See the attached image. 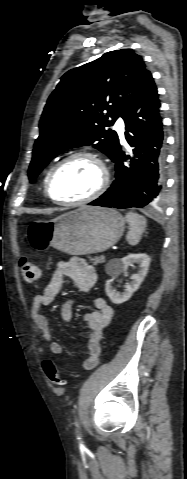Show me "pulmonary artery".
<instances>
[{"label":"pulmonary artery","mask_w":187,"mask_h":479,"mask_svg":"<svg viewBox=\"0 0 187 479\" xmlns=\"http://www.w3.org/2000/svg\"><path fill=\"white\" fill-rule=\"evenodd\" d=\"M115 129L119 132V134L121 135V137H123L124 122H123V120H122L121 118L116 121V123H115Z\"/></svg>","instance_id":"pulmonary-artery-1"}]
</instances>
